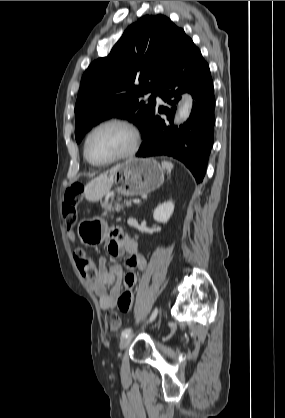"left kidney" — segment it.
Wrapping results in <instances>:
<instances>
[{"label": "left kidney", "instance_id": "obj_1", "mask_svg": "<svg viewBox=\"0 0 285 418\" xmlns=\"http://www.w3.org/2000/svg\"><path fill=\"white\" fill-rule=\"evenodd\" d=\"M174 211L172 201L164 202L156 207L153 213L154 220L160 223H167Z\"/></svg>", "mask_w": 285, "mask_h": 418}]
</instances>
